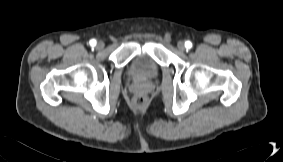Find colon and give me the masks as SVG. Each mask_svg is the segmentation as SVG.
<instances>
[{
	"instance_id": "1",
	"label": "colon",
	"mask_w": 283,
	"mask_h": 162,
	"mask_svg": "<svg viewBox=\"0 0 283 162\" xmlns=\"http://www.w3.org/2000/svg\"><path fill=\"white\" fill-rule=\"evenodd\" d=\"M134 104L138 107H142L145 104V97L143 95L135 96Z\"/></svg>"
}]
</instances>
